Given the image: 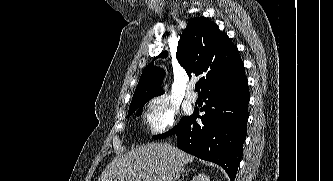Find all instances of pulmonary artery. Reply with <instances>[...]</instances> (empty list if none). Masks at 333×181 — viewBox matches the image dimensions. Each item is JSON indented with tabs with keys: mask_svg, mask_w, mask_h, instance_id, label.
I'll return each instance as SVG.
<instances>
[{
	"mask_svg": "<svg viewBox=\"0 0 333 181\" xmlns=\"http://www.w3.org/2000/svg\"><path fill=\"white\" fill-rule=\"evenodd\" d=\"M190 90L186 93V99L190 102H196L197 95L192 91L193 86L189 87Z\"/></svg>",
	"mask_w": 333,
	"mask_h": 181,
	"instance_id": "e3ab8cb5",
	"label": "pulmonary artery"
}]
</instances>
